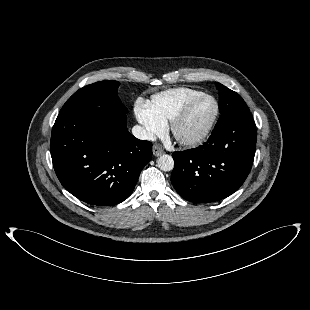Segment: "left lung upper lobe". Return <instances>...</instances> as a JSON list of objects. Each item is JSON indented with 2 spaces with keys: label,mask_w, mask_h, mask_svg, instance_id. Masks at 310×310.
<instances>
[{
  "label": "left lung upper lobe",
  "mask_w": 310,
  "mask_h": 310,
  "mask_svg": "<svg viewBox=\"0 0 310 310\" xmlns=\"http://www.w3.org/2000/svg\"><path fill=\"white\" fill-rule=\"evenodd\" d=\"M216 87L219 91V111L221 116L215 127L250 113L247 104L239 94L218 82H216Z\"/></svg>",
  "instance_id": "5c2ea615"
}]
</instances>
